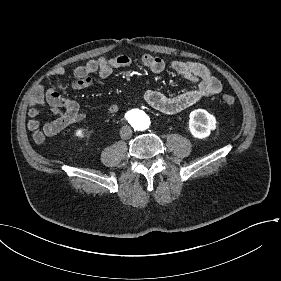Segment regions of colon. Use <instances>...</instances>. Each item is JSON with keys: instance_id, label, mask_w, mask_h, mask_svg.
<instances>
[{"instance_id": "5ec220e1", "label": "colon", "mask_w": 281, "mask_h": 281, "mask_svg": "<svg viewBox=\"0 0 281 281\" xmlns=\"http://www.w3.org/2000/svg\"><path fill=\"white\" fill-rule=\"evenodd\" d=\"M222 101L226 105H232L235 103V98H234V96H231V95H225L222 97Z\"/></svg>"}]
</instances>
